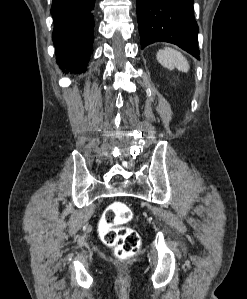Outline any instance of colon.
I'll list each match as a JSON object with an SVG mask.
<instances>
[{"label":"colon","instance_id":"colon-1","mask_svg":"<svg viewBox=\"0 0 247 299\" xmlns=\"http://www.w3.org/2000/svg\"><path fill=\"white\" fill-rule=\"evenodd\" d=\"M132 217L128 205L114 202L107 207L101 219V234L104 242L112 246L116 256L122 259L133 257L140 248L138 233L126 226Z\"/></svg>","mask_w":247,"mask_h":299}]
</instances>
